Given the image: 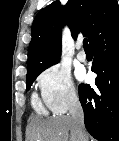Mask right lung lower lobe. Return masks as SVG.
Here are the masks:
<instances>
[{"label": "right lung lower lobe", "mask_w": 119, "mask_h": 141, "mask_svg": "<svg viewBox=\"0 0 119 141\" xmlns=\"http://www.w3.org/2000/svg\"><path fill=\"white\" fill-rule=\"evenodd\" d=\"M96 88L79 85L88 132L99 141H119V15L106 22L90 43Z\"/></svg>", "instance_id": "98d812e1"}]
</instances>
